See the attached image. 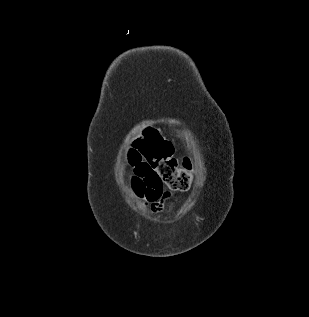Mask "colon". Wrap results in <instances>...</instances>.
Here are the masks:
<instances>
[{
  "label": "colon",
  "instance_id": "colon-1",
  "mask_svg": "<svg viewBox=\"0 0 309 317\" xmlns=\"http://www.w3.org/2000/svg\"><path fill=\"white\" fill-rule=\"evenodd\" d=\"M137 150L130 156V162L144 160L151 168L155 181L165 184L173 191H186L192 182V166L188 158L179 162L173 157L172 144L160 133L148 128L143 138L137 141Z\"/></svg>",
  "mask_w": 309,
  "mask_h": 317
}]
</instances>
